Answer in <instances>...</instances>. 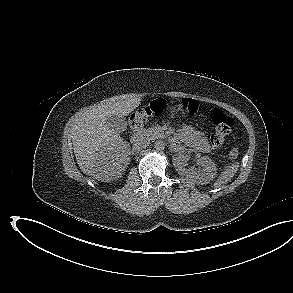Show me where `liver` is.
I'll return each mask as SVG.
<instances>
[{
  "mask_svg": "<svg viewBox=\"0 0 293 293\" xmlns=\"http://www.w3.org/2000/svg\"><path fill=\"white\" fill-rule=\"evenodd\" d=\"M141 104L140 97L116 96L79 112L70 134L81 171L94 179L110 182L121 177L130 162V144L109 128V116H127Z\"/></svg>",
  "mask_w": 293,
  "mask_h": 293,
  "instance_id": "liver-1",
  "label": "liver"
}]
</instances>
